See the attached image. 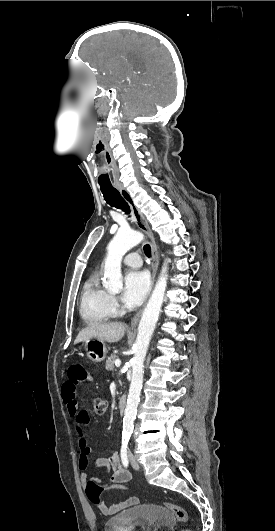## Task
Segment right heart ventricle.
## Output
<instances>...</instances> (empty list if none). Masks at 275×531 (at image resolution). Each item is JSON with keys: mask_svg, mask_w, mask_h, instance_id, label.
Listing matches in <instances>:
<instances>
[{"mask_svg": "<svg viewBox=\"0 0 275 531\" xmlns=\"http://www.w3.org/2000/svg\"><path fill=\"white\" fill-rule=\"evenodd\" d=\"M108 294L100 285L97 275L92 274L84 281L80 292V313L85 321L101 324L112 317Z\"/></svg>", "mask_w": 275, "mask_h": 531, "instance_id": "obj_1", "label": "right heart ventricle"}]
</instances>
